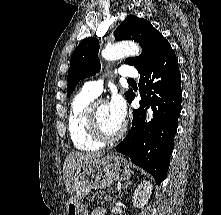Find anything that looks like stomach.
Listing matches in <instances>:
<instances>
[{
  "instance_id": "0dacf381",
  "label": "stomach",
  "mask_w": 221,
  "mask_h": 215,
  "mask_svg": "<svg viewBox=\"0 0 221 215\" xmlns=\"http://www.w3.org/2000/svg\"><path fill=\"white\" fill-rule=\"evenodd\" d=\"M132 174L131 164L124 157L113 153L82 163L71 180L67 215H88L82 201L92 189H104L113 181L129 179Z\"/></svg>"
}]
</instances>
